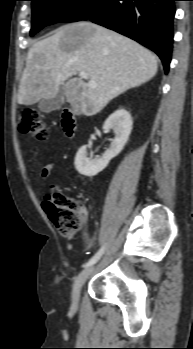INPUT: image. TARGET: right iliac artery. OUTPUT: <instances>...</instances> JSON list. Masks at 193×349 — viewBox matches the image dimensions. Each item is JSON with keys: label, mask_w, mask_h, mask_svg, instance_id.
<instances>
[{"label": "right iliac artery", "mask_w": 193, "mask_h": 349, "mask_svg": "<svg viewBox=\"0 0 193 349\" xmlns=\"http://www.w3.org/2000/svg\"><path fill=\"white\" fill-rule=\"evenodd\" d=\"M105 246H103L85 265L84 267H89L96 263L104 252Z\"/></svg>", "instance_id": "obj_1"}]
</instances>
